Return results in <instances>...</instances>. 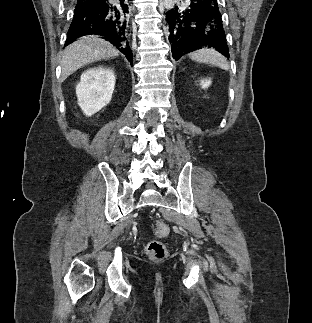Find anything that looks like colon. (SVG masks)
Segmentation results:
<instances>
[{
	"label": "colon",
	"instance_id": "colon-1",
	"mask_svg": "<svg viewBox=\"0 0 312 323\" xmlns=\"http://www.w3.org/2000/svg\"><path fill=\"white\" fill-rule=\"evenodd\" d=\"M167 226L163 222H158L154 228L156 234L167 233ZM145 252L155 260H162L166 255L165 246L159 241H151L145 247Z\"/></svg>",
	"mask_w": 312,
	"mask_h": 323
}]
</instances>
